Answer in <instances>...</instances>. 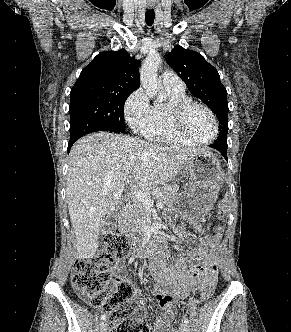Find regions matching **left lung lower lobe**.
<instances>
[{
    "mask_svg": "<svg viewBox=\"0 0 291 332\" xmlns=\"http://www.w3.org/2000/svg\"><path fill=\"white\" fill-rule=\"evenodd\" d=\"M210 147L215 148L221 152L224 158L227 160V139L221 137L217 138V141L213 145H210Z\"/></svg>",
    "mask_w": 291,
    "mask_h": 332,
    "instance_id": "0a47b994",
    "label": "left lung lower lobe"
}]
</instances>
